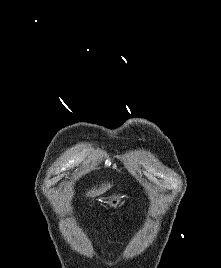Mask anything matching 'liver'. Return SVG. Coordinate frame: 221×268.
Masks as SVG:
<instances>
[{"instance_id":"6515ba94","label":"liver","mask_w":221,"mask_h":268,"mask_svg":"<svg viewBox=\"0 0 221 268\" xmlns=\"http://www.w3.org/2000/svg\"><path fill=\"white\" fill-rule=\"evenodd\" d=\"M112 187V185L110 183H106V184H102L100 188L96 189H91L89 190L86 195L88 197H95L98 196L100 194H103L104 192H106L107 190H109Z\"/></svg>"}]
</instances>
